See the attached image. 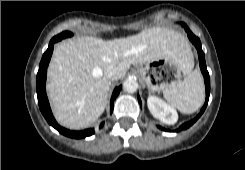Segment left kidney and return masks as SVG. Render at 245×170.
Listing matches in <instances>:
<instances>
[{
  "label": "left kidney",
  "instance_id": "left-kidney-1",
  "mask_svg": "<svg viewBox=\"0 0 245 170\" xmlns=\"http://www.w3.org/2000/svg\"><path fill=\"white\" fill-rule=\"evenodd\" d=\"M148 109L151 114L165 124H175L178 120L176 110L156 96L147 99Z\"/></svg>",
  "mask_w": 245,
  "mask_h": 170
}]
</instances>
